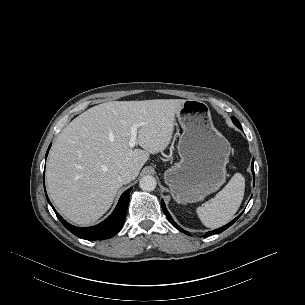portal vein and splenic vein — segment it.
<instances>
[{
    "instance_id": "1",
    "label": "portal vein and splenic vein",
    "mask_w": 305,
    "mask_h": 305,
    "mask_svg": "<svg viewBox=\"0 0 305 305\" xmlns=\"http://www.w3.org/2000/svg\"><path fill=\"white\" fill-rule=\"evenodd\" d=\"M142 124H133L131 126V137L129 140V147L133 148L137 142V128L140 127Z\"/></svg>"
}]
</instances>
